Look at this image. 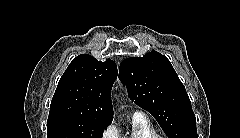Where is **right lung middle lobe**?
<instances>
[{"label":"right lung middle lobe","mask_w":240,"mask_h":138,"mask_svg":"<svg viewBox=\"0 0 240 138\" xmlns=\"http://www.w3.org/2000/svg\"><path fill=\"white\" fill-rule=\"evenodd\" d=\"M109 124L75 116L49 117L47 138H102Z\"/></svg>","instance_id":"1"}]
</instances>
